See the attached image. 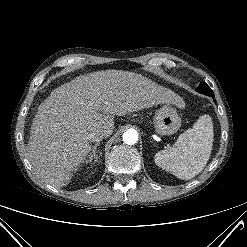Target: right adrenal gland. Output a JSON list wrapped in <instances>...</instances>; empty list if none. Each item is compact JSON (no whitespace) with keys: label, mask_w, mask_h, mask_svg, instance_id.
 <instances>
[{"label":"right adrenal gland","mask_w":247,"mask_h":247,"mask_svg":"<svg viewBox=\"0 0 247 247\" xmlns=\"http://www.w3.org/2000/svg\"><path fill=\"white\" fill-rule=\"evenodd\" d=\"M99 145H100V143H97V144H95V145L92 147V152L88 155V158H89V159H88L86 162L91 163L93 159H95L94 162L97 161L98 156H97V152H96V151H97V148H98Z\"/></svg>","instance_id":"1"}]
</instances>
